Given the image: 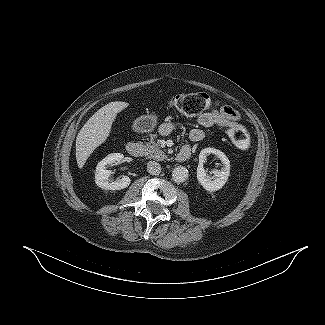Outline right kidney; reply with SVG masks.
Masks as SVG:
<instances>
[{"label":"right kidney","instance_id":"obj_1","mask_svg":"<svg viewBox=\"0 0 325 325\" xmlns=\"http://www.w3.org/2000/svg\"><path fill=\"white\" fill-rule=\"evenodd\" d=\"M124 159L121 153H112L102 159L96 167L95 183L105 190H121L129 186L131 180L128 176H123L117 181H109L111 171L106 169L107 165L120 163Z\"/></svg>","mask_w":325,"mask_h":325}]
</instances>
